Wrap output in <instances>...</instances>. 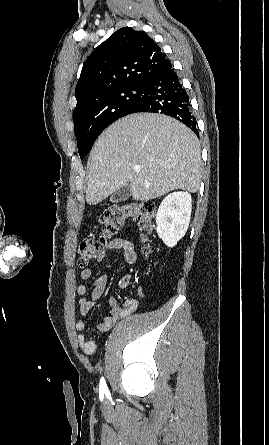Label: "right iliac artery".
Returning a JSON list of instances; mask_svg holds the SVG:
<instances>
[{
  "mask_svg": "<svg viewBox=\"0 0 269 445\" xmlns=\"http://www.w3.org/2000/svg\"><path fill=\"white\" fill-rule=\"evenodd\" d=\"M100 391L104 392V393L108 392V388H107V385H106L104 377H102L101 380H100Z\"/></svg>",
  "mask_w": 269,
  "mask_h": 445,
  "instance_id": "right-iliac-artery-1",
  "label": "right iliac artery"
}]
</instances>
